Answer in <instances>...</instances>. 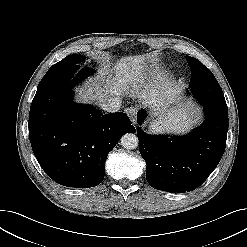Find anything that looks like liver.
<instances>
[{
	"instance_id": "6515ba94",
	"label": "liver",
	"mask_w": 247,
	"mask_h": 247,
	"mask_svg": "<svg viewBox=\"0 0 247 247\" xmlns=\"http://www.w3.org/2000/svg\"><path fill=\"white\" fill-rule=\"evenodd\" d=\"M144 59V55L122 58L113 67L116 74L115 77L111 79V75H108L107 79L102 78L104 82L106 81L104 84L106 90L99 89L100 87L97 83H90L87 88L80 89L78 101L101 103L108 96H120L126 93L132 83L135 90L145 87L140 93L144 105L150 106L154 110L164 109L166 105L176 99L180 87H172L170 83L163 81L160 74L156 75L155 73V76L147 86H144V78L141 73L143 69L141 63ZM105 74H107L106 71L102 73V75Z\"/></svg>"
}]
</instances>
